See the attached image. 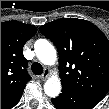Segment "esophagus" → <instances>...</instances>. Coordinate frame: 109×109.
<instances>
[{
  "label": "esophagus",
  "mask_w": 109,
  "mask_h": 109,
  "mask_svg": "<svg viewBox=\"0 0 109 109\" xmlns=\"http://www.w3.org/2000/svg\"><path fill=\"white\" fill-rule=\"evenodd\" d=\"M49 76V71L45 70V72L40 76V79L45 80Z\"/></svg>",
  "instance_id": "1"
}]
</instances>
